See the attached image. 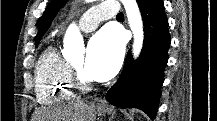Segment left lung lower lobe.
Wrapping results in <instances>:
<instances>
[{"label":"left lung lower lobe","mask_w":217,"mask_h":121,"mask_svg":"<svg viewBox=\"0 0 217 121\" xmlns=\"http://www.w3.org/2000/svg\"><path fill=\"white\" fill-rule=\"evenodd\" d=\"M137 3L145 32L141 55L135 62L127 55L119 79L105 97L117 107L141 109L153 120L168 62V19L162 0H137Z\"/></svg>","instance_id":"1"}]
</instances>
